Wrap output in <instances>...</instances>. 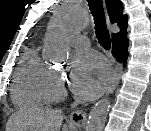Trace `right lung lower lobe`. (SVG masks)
Instances as JSON below:
<instances>
[{"instance_id":"right-lung-lower-lobe-1","label":"right lung lower lobe","mask_w":151,"mask_h":131,"mask_svg":"<svg viewBox=\"0 0 151 131\" xmlns=\"http://www.w3.org/2000/svg\"><path fill=\"white\" fill-rule=\"evenodd\" d=\"M112 54L114 57L117 58L119 62L126 63L127 56H128V39L121 38L117 41L112 42Z\"/></svg>"}]
</instances>
